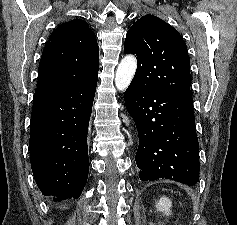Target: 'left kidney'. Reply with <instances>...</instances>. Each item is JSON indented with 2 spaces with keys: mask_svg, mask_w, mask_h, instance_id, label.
<instances>
[{
  "mask_svg": "<svg viewBox=\"0 0 237 225\" xmlns=\"http://www.w3.org/2000/svg\"><path fill=\"white\" fill-rule=\"evenodd\" d=\"M172 207V201L168 197H161L156 204L158 211L163 212L164 215H169L171 213L170 208Z\"/></svg>",
  "mask_w": 237,
  "mask_h": 225,
  "instance_id": "left-kidney-1",
  "label": "left kidney"
}]
</instances>
